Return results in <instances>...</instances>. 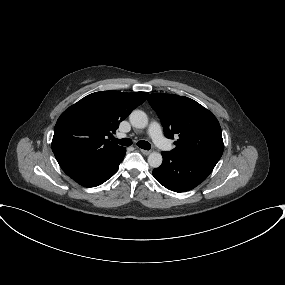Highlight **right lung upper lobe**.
<instances>
[{
	"instance_id": "right-lung-upper-lobe-1",
	"label": "right lung upper lobe",
	"mask_w": 285,
	"mask_h": 285,
	"mask_svg": "<svg viewBox=\"0 0 285 285\" xmlns=\"http://www.w3.org/2000/svg\"><path fill=\"white\" fill-rule=\"evenodd\" d=\"M147 92L92 93L66 109L54 128L52 151L55 157L82 152L88 156L120 150L121 146L106 139L119 123L141 105Z\"/></svg>"
}]
</instances>
